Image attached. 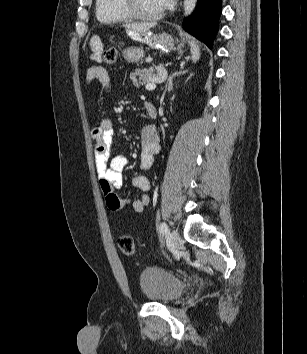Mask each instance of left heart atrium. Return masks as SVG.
Instances as JSON below:
<instances>
[{
  "mask_svg": "<svg viewBox=\"0 0 307 354\" xmlns=\"http://www.w3.org/2000/svg\"><path fill=\"white\" fill-rule=\"evenodd\" d=\"M161 9L169 8L173 5L174 0H158Z\"/></svg>",
  "mask_w": 307,
  "mask_h": 354,
  "instance_id": "1",
  "label": "left heart atrium"
}]
</instances>
